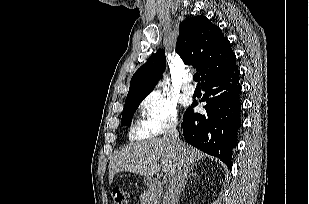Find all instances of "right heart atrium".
<instances>
[{
	"mask_svg": "<svg viewBox=\"0 0 309 204\" xmlns=\"http://www.w3.org/2000/svg\"><path fill=\"white\" fill-rule=\"evenodd\" d=\"M142 120L137 129L140 137H155L173 130L178 123L173 100L159 92L149 94L140 105Z\"/></svg>",
	"mask_w": 309,
	"mask_h": 204,
	"instance_id": "obj_1",
	"label": "right heart atrium"
}]
</instances>
